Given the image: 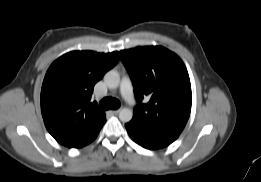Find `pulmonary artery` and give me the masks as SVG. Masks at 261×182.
Masks as SVG:
<instances>
[{"label":"pulmonary artery","instance_id":"1","mask_svg":"<svg viewBox=\"0 0 261 182\" xmlns=\"http://www.w3.org/2000/svg\"><path fill=\"white\" fill-rule=\"evenodd\" d=\"M120 93L128 104L134 105L135 97L133 94V88H132L131 81L127 77H124L121 81Z\"/></svg>","mask_w":261,"mask_h":182}]
</instances>
